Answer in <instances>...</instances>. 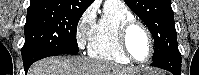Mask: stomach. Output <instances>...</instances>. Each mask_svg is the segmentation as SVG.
Wrapping results in <instances>:
<instances>
[{"instance_id": "0dacf381", "label": "stomach", "mask_w": 199, "mask_h": 75, "mask_svg": "<svg viewBox=\"0 0 199 75\" xmlns=\"http://www.w3.org/2000/svg\"><path fill=\"white\" fill-rule=\"evenodd\" d=\"M134 75H154V72H152L151 70H149L148 68H144L139 70L137 73H135Z\"/></svg>"}]
</instances>
